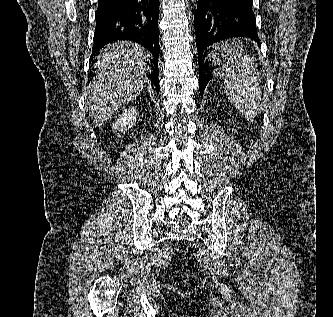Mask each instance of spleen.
I'll use <instances>...</instances> for the list:
<instances>
[{
    "label": "spleen",
    "instance_id": "spleen-1",
    "mask_svg": "<svg viewBox=\"0 0 333 317\" xmlns=\"http://www.w3.org/2000/svg\"><path fill=\"white\" fill-rule=\"evenodd\" d=\"M239 43L227 41L221 45L222 55L228 57L226 67L220 69L224 79L225 92L230 102L252 122L258 114L261 103V88L253 60L242 54Z\"/></svg>",
    "mask_w": 333,
    "mask_h": 317
}]
</instances>
